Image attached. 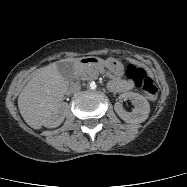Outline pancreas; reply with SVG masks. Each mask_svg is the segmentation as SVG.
<instances>
[{"label":"pancreas","mask_w":187,"mask_h":187,"mask_svg":"<svg viewBox=\"0 0 187 187\" xmlns=\"http://www.w3.org/2000/svg\"><path fill=\"white\" fill-rule=\"evenodd\" d=\"M104 72H105V70H104L103 66L85 65L76 71V78L79 80H83V81L95 80V79H97V77L100 73H104ZM107 75L110 76L109 73H107Z\"/></svg>","instance_id":"pancreas-1"}]
</instances>
